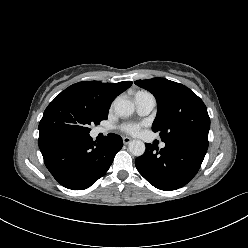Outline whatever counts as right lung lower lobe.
Instances as JSON below:
<instances>
[{"label":"right lung lower lobe","instance_id":"1","mask_svg":"<svg viewBox=\"0 0 248 248\" xmlns=\"http://www.w3.org/2000/svg\"><path fill=\"white\" fill-rule=\"evenodd\" d=\"M38 144L47 169L72 190L86 189L102 177L123 146L122 138L113 133L97 143L89 134L39 133Z\"/></svg>","mask_w":248,"mask_h":248}]
</instances>
